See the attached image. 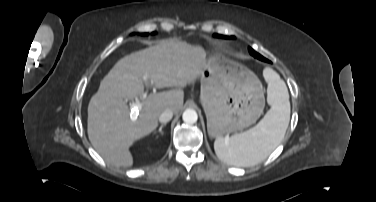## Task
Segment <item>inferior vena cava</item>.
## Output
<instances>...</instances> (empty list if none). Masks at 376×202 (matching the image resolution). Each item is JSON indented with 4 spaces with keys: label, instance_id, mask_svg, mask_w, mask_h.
Listing matches in <instances>:
<instances>
[{
    "label": "inferior vena cava",
    "instance_id": "obj_1",
    "mask_svg": "<svg viewBox=\"0 0 376 202\" xmlns=\"http://www.w3.org/2000/svg\"><path fill=\"white\" fill-rule=\"evenodd\" d=\"M173 117V112L169 109H166L160 116L159 121L161 123H167L169 122Z\"/></svg>",
    "mask_w": 376,
    "mask_h": 202
}]
</instances>
